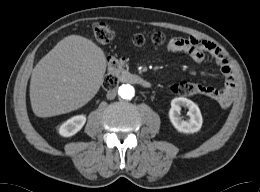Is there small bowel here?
I'll use <instances>...</instances> for the list:
<instances>
[{
	"mask_svg": "<svg viewBox=\"0 0 260 192\" xmlns=\"http://www.w3.org/2000/svg\"><path fill=\"white\" fill-rule=\"evenodd\" d=\"M167 49L170 52L183 53L195 62L204 61L206 55L212 56L222 72L224 86L216 89L197 84V93L217 101L223 107L232 103L236 95L235 77L226 56L216 44L198 37H174L169 40Z\"/></svg>",
	"mask_w": 260,
	"mask_h": 192,
	"instance_id": "1",
	"label": "small bowel"
}]
</instances>
